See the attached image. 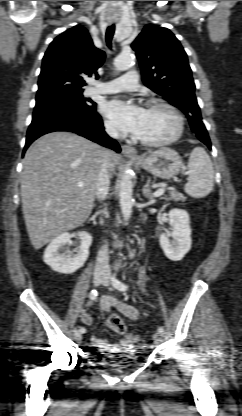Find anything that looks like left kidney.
<instances>
[{
	"mask_svg": "<svg viewBox=\"0 0 242 416\" xmlns=\"http://www.w3.org/2000/svg\"><path fill=\"white\" fill-rule=\"evenodd\" d=\"M168 216L172 232L160 236V246L168 259L180 261L191 249L190 217L182 209H172Z\"/></svg>",
	"mask_w": 242,
	"mask_h": 416,
	"instance_id": "obj_1",
	"label": "left kidney"
}]
</instances>
